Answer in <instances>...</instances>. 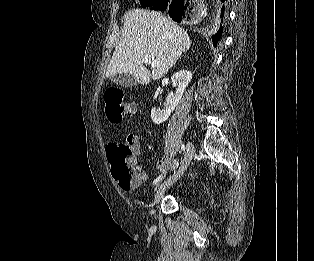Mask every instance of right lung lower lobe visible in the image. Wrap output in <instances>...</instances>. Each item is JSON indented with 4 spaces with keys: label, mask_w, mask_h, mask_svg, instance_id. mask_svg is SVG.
Returning a JSON list of instances; mask_svg holds the SVG:
<instances>
[{
    "label": "right lung lower lobe",
    "mask_w": 314,
    "mask_h": 261,
    "mask_svg": "<svg viewBox=\"0 0 314 261\" xmlns=\"http://www.w3.org/2000/svg\"><path fill=\"white\" fill-rule=\"evenodd\" d=\"M226 0H217L219 3V8H218V17H219V22L218 25L215 26L212 30V35L211 39L216 47L217 44L219 43L222 34H223V29H224V18H225V5L223 4ZM152 10H160L164 11L167 10L169 16L177 22H181L182 20L185 19V14L183 13V8L181 7L180 3H178V0H162L160 3L152 5L151 8Z\"/></svg>",
    "instance_id": "right-lung-lower-lobe-1"
}]
</instances>
